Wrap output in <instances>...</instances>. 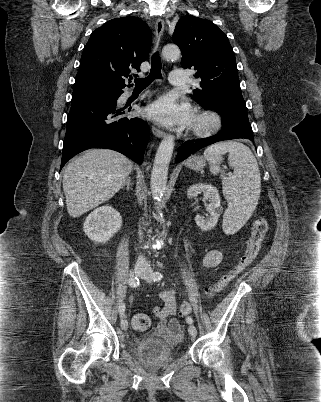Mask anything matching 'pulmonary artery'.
I'll use <instances>...</instances> for the list:
<instances>
[{
    "instance_id": "pulmonary-artery-1",
    "label": "pulmonary artery",
    "mask_w": 321,
    "mask_h": 402,
    "mask_svg": "<svg viewBox=\"0 0 321 402\" xmlns=\"http://www.w3.org/2000/svg\"><path fill=\"white\" fill-rule=\"evenodd\" d=\"M169 83L172 86H182L186 84L185 72L182 69L171 71L169 75Z\"/></svg>"
}]
</instances>
